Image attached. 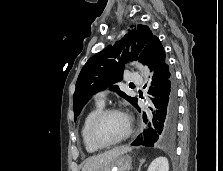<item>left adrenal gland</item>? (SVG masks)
Wrapping results in <instances>:
<instances>
[{
    "mask_svg": "<svg viewBox=\"0 0 223 171\" xmlns=\"http://www.w3.org/2000/svg\"><path fill=\"white\" fill-rule=\"evenodd\" d=\"M144 162H145V159H141L140 160V165H139L138 171H140L141 166L144 164Z\"/></svg>",
    "mask_w": 223,
    "mask_h": 171,
    "instance_id": "a2214340",
    "label": "left adrenal gland"
}]
</instances>
